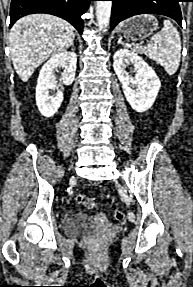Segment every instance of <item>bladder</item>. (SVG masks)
I'll use <instances>...</instances> for the list:
<instances>
[{
  "mask_svg": "<svg viewBox=\"0 0 193 287\" xmlns=\"http://www.w3.org/2000/svg\"><path fill=\"white\" fill-rule=\"evenodd\" d=\"M97 222L90 216L79 212H72L65 216L63 230L68 235L83 236L95 231Z\"/></svg>",
  "mask_w": 193,
  "mask_h": 287,
  "instance_id": "1",
  "label": "bladder"
}]
</instances>
